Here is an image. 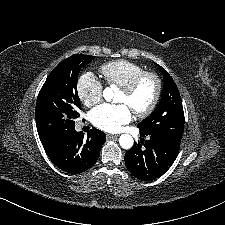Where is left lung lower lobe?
<instances>
[{
  "instance_id": "0a47b994",
  "label": "left lung lower lobe",
  "mask_w": 225,
  "mask_h": 225,
  "mask_svg": "<svg viewBox=\"0 0 225 225\" xmlns=\"http://www.w3.org/2000/svg\"><path fill=\"white\" fill-rule=\"evenodd\" d=\"M141 133L149 135L125 154V165L128 171L142 181H151L162 176L175 161L181 143V138L166 133ZM143 144V146H142Z\"/></svg>"
}]
</instances>
